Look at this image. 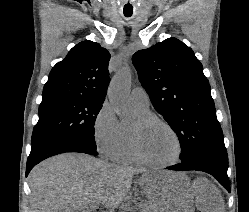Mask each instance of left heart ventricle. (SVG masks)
<instances>
[{
    "mask_svg": "<svg viewBox=\"0 0 249 212\" xmlns=\"http://www.w3.org/2000/svg\"><path fill=\"white\" fill-rule=\"evenodd\" d=\"M135 123L132 127L135 126ZM137 136L141 151L151 161L165 163L176 159L178 143L163 126L154 124L142 128L138 131Z\"/></svg>",
    "mask_w": 249,
    "mask_h": 212,
    "instance_id": "left-heart-ventricle-1",
    "label": "left heart ventricle"
}]
</instances>
